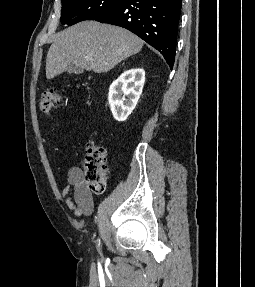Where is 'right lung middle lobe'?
<instances>
[{
  "label": "right lung middle lobe",
  "instance_id": "dd1d6c3e",
  "mask_svg": "<svg viewBox=\"0 0 255 287\" xmlns=\"http://www.w3.org/2000/svg\"><path fill=\"white\" fill-rule=\"evenodd\" d=\"M60 21L69 26L84 20H94L106 10L121 4L124 0H61Z\"/></svg>",
  "mask_w": 255,
  "mask_h": 287
}]
</instances>
